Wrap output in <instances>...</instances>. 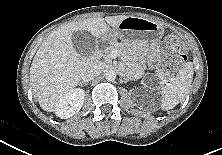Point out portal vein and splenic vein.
I'll list each match as a JSON object with an SVG mask.
<instances>
[{
    "label": "portal vein and splenic vein",
    "instance_id": "18ae733b",
    "mask_svg": "<svg viewBox=\"0 0 222 155\" xmlns=\"http://www.w3.org/2000/svg\"><path fill=\"white\" fill-rule=\"evenodd\" d=\"M116 55H117V52L113 51L112 54H111V57H115Z\"/></svg>",
    "mask_w": 222,
    "mask_h": 155
}]
</instances>
